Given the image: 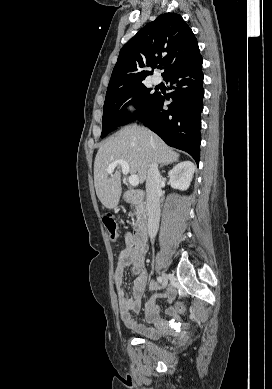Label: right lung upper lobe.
<instances>
[{"instance_id": "obj_1", "label": "right lung upper lobe", "mask_w": 272, "mask_h": 389, "mask_svg": "<svg viewBox=\"0 0 272 389\" xmlns=\"http://www.w3.org/2000/svg\"><path fill=\"white\" fill-rule=\"evenodd\" d=\"M199 55L197 40L183 18L176 13L162 14L122 47L107 92L143 83L152 73L146 69L158 64L164 65L165 78Z\"/></svg>"}]
</instances>
